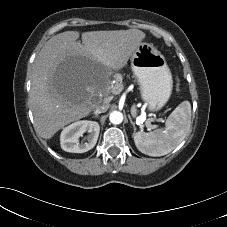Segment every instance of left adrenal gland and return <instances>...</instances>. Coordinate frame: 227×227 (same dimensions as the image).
Listing matches in <instances>:
<instances>
[{
  "mask_svg": "<svg viewBox=\"0 0 227 227\" xmlns=\"http://www.w3.org/2000/svg\"><path fill=\"white\" fill-rule=\"evenodd\" d=\"M129 120H130V123L132 124L133 128H134V131L136 130V126H135V123L133 122L131 116L129 115Z\"/></svg>",
  "mask_w": 227,
  "mask_h": 227,
  "instance_id": "1",
  "label": "left adrenal gland"
}]
</instances>
